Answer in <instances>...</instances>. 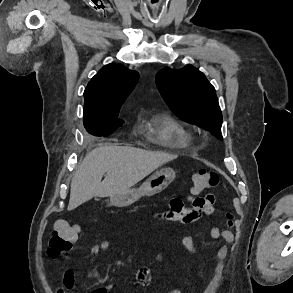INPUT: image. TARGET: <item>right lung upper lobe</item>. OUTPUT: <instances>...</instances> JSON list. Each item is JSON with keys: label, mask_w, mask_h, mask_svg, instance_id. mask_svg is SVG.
Instances as JSON below:
<instances>
[{"label": "right lung upper lobe", "mask_w": 293, "mask_h": 293, "mask_svg": "<svg viewBox=\"0 0 293 293\" xmlns=\"http://www.w3.org/2000/svg\"><path fill=\"white\" fill-rule=\"evenodd\" d=\"M138 80V72L120 64L104 66L85 89L84 117L119 112Z\"/></svg>", "instance_id": "obj_1"}]
</instances>
